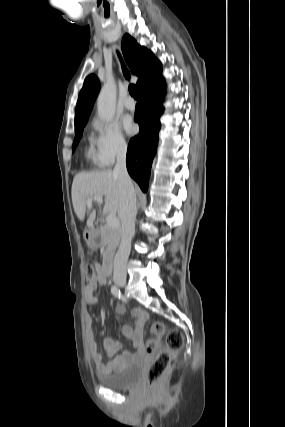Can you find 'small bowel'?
Instances as JSON below:
<instances>
[{"label":"small bowel","mask_w":285,"mask_h":427,"mask_svg":"<svg viewBox=\"0 0 285 427\" xmlns=\"http://www.w3.org/2000/svg\"><path fill=\"white\" fill-rule=\"evenodd\" d=\"M95 270L96 279L89 282L84 288L85 301L91 306H96L98 304L99 300L98 297L94 294V291L98 285L106 284L108 276L106 275L104 264L96 263ZM115 310L119 315H125L126 313L125 307L122 304H117ZM132 316L135 319V326H123L120 333L122 336L133 342L135 352H130L123 349L121 342L116 336L106 337L103 341V345L108 356L112 358V360L107 364L102 362V355L99 352L97 343L94 339L92 319L90 315L86 316V333L89 341L90 354L98 370H118L127 364L141 360L145 356L146 351L143 347L142 329L148 318V314L146 311L140 308H135L132 310Z\"/></svg>","instance_id":"c3829d8e"}]
</instances>
